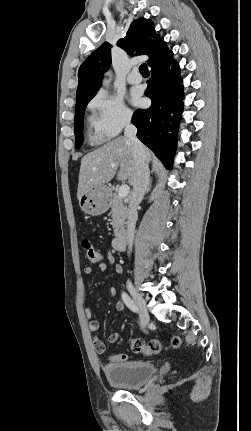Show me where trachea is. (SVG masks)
I'll use <instances>...</instances> for the list:
<instances>
[{
	"instance_id": "3493384b",
	"label": "trachea",
	"mask_w": 251,
	"mask_h": 431,
	"mask_svg": "<svg viewBox=\"0 0 251 431\" xmlns=\"http://www.w3.org/2000/svg\"><path fill=\"white\" fill-rule=\"evenodd\" d=\"M139 72H140L142 75H147V74H149V70H148V67H147L146 63H143L142 65H140V67H139Z\"/></svg>"
}]
</instances>
